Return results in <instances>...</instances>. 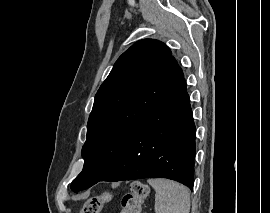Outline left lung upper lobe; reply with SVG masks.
I'll return each instance as SVG.
<instances>
[{"label":"left lung upper lobe","instance_id":"5c2ea615","mask_svg":"<svg viewBox=\"0 0 270 213\" xmlns=\"http://www.w3.org/2000/svg\"><path fill=\"white\" fill-rule=\"evenodd\" d=\"M182 77L170 49L154 39L136 42L118 58L95 96L74 192L108 173L138 126Z\"/></svg>","mask_w":270,"mask_h":213}]
</instances>
